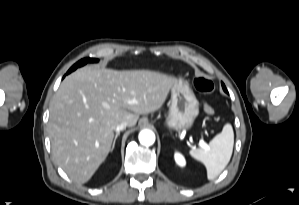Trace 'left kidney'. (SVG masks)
<instances>
[{
    "label": "left kidney",
    "mask_w": 299,
    "mask_h": 205,
    "mask_svg": "<svg viewBox=\"0 0 299 205\" xmlns=\"http://www.w3.org/2000/svg\"><path fill=\"white\" fill-rule=\"evenodd\" d=\"M174 159H175V162H176L179 166L183 167V166L186 165L185 158H184L183 155L180 154L179 152H176V153L174 154Z\"/></svg>",
    "instance_id": "left-kidney-1"
}]
</instances>
